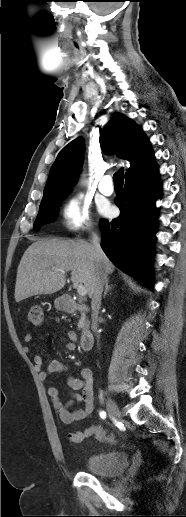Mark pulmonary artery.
Returning a JSON list of instances; mask_svg holds the SVG:
<instances>
[{
  "instance_id": "e3ab8cb5",
  "label": "pulmonary artery",
  "mask_w": 186,
  "mask_h": 517,
  "mask_svg": "<svg viewBox=\"0 0 186 517\" xmlns=\"http://www.w3.org/2000/svg\"><path fill=\"white\" fill-rule=\"evenodd\" d=\"M98 188L102 194H104L106 196L112 195L114 192V188H113L111 176L110 175L103 176L102 179L100 180Z\"/></svg>"
}]
</instances>
